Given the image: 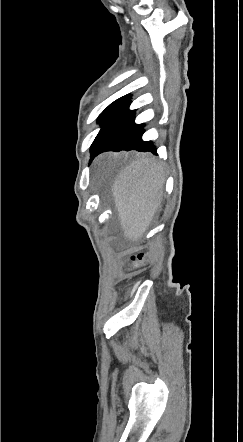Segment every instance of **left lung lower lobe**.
I'll list each match as a JSON object with an SVG mask.
<instances>
[{
    "label": "left lung lower lobe",
    "mask_w": 243,
    "mask_h": 442,
    "mask_svg": "<svg viewBox=\"0 0 243 442\" xmlns=\"http://www.w3.org/2000/svg\"><path fill=\"white\" fill-rule=\"evenodd\" d=\"M130 94L118 101L99 122L101 129L91 145V160L105 151L137 150L157 154L155 146L142 141L143 124H135V111H130Z\"/></svg>",
    "instance_id": "obj_1"
}]
</instances>
